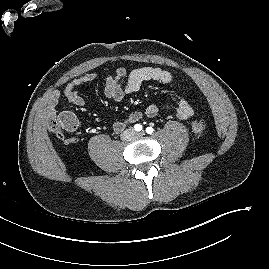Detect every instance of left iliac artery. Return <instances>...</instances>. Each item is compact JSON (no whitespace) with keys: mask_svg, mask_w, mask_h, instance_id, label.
Returning <instances> with one entry per match:
<instances>
[{"mask_svg":"<svg viewBox=\"0 0 269 269\" xmlns=\"http://www.w3.org/2000/svg\"><path fill=\"white\" fill-rule=\"evenodd\" d=\"M153 131H154V129L152 127H147L146 128V133H148V134H152Z\"/></svg>","mask_w":269,"mask_h":269,"instance_id":"1","label":"left iliac artery"}]
</instances>
